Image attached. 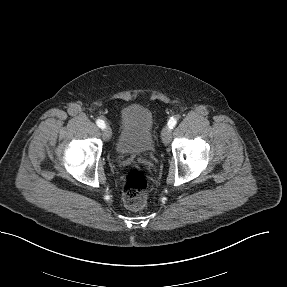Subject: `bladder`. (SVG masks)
Segmentation results:
<instances>
[{
    "mask_svg": "<svg viewBox=\"0 0 287 287\" xmlns=\"http://www.w3.org/2000/svg\"><path fill=\"white\" fill-rule=\"evenodd\" d=\"M154 121L151 111L141 105H129L120 112V128L115 150L120 155H143L154 148Z\"/></svg>",
    "mask_w": 287,
    "mask_h": 287,
    "instance_id": "obj_1",
    "label": "bladder"
}]
</instances>
